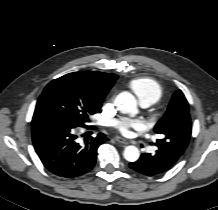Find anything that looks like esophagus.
<instances>
[{"mask_svg": "<svg viewBox=\"0 0 218 210\" xmlns=\"http://www.w3.org/2000/svg\"><path fill=\"white\" fill-rule=\"evenodd\" d=\"M114 139H115L117 142L122 143V144H128V143H129L126 139H124V138H122V137H120V136H116Z\"/></svg>", "mask_w": 218, "mask_h": 210, "instance_id": "34e87169", "label": "esophagus"}]
</instances>
